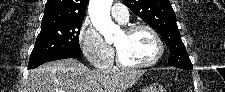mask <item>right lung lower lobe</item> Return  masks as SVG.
Instances as JSON below:
<instances>
[{
    "instance_id": "right-lung-lower-lobe-1",
    "label": "right lung lower lobe",
    "mask_w": 225,
    "mask_h": 92,
    "mask_svg": "<svg viewBox=\"0 0 225 92\" xmlns=\"http://www.w3.org/2000/svg\"><path fill=\"white\" fill-rule=\"evenodd\" d=\"M80 55H81V51H67V52H62L59 54H53V55L29 60L28 69H34L38 67L39 65L49 61L65 59V58H77Z\"/></svg>"
}]
</instances>
